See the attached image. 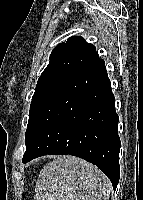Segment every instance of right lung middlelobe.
Returning <instances> with one entry per match:
<instances>
[{
	"label": "right lung middle lobe",
	"instance_id": "1",
	"mask_svg": "<svg viewBox=\"0 0 143 200\" xmlns=\"http://www.w3.org/2000/svg\"><path fill=\"white\" fill-rule=\"evenodd\" d=\"M64 79L65 77H49L46 79L38 80L35 93L32 97V102L30 105L29 121L27 125L26 134L39 106Z\"/></svg>",
	"mask_w": 143,
	"mask_h": 200
}]
</instances>
